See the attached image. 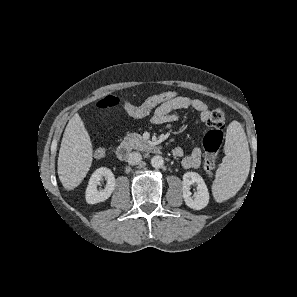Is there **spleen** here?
<instances>
[{
	"label": "spleen",
	"instance_id": "3e777b00",
	"mask_svg": "<svg viewBox=\"0 0 297 297\" xmlns=\"http://www.w3.org/2000/svg\"><path fill=\"white\" fill-rule=\"evenodd\" d=\"M225 157L216 172L214 196L234 195L244 184L250 169V151L243 127L238 121L229 124L225 142ZM220 185L217 190L216 185Z\"/></svg>",
	"mask_w": 297,
	"mask_h": 297
}]
</instances>
